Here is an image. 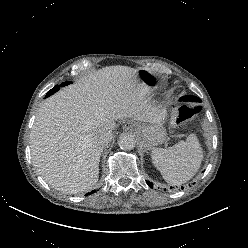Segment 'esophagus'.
Segmentation results:
<instances>
[{
    "mask_svg": "<svg viewBox=\"0 0 248 248\" xmlns=\"http://www.w3.org/2000/svg\"><path fill=\"white\" fill-rule=\"evenodd\" d=\"M132 126H133L132 123L128 122V123L125 124L124 128L125 129H130V128H132Z\"/></svg>",
    "mask_w": 248,
    "mask_h": 248,
    "instance_id": "34e87169",
    "label": "esophagus"
}]
</instances>
